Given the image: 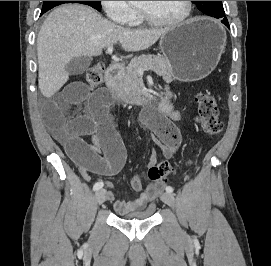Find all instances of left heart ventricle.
<instances>
[{"label": "left heart ventricle", "mask_w": 271, "mask_h": 266, "mask_svg": "<svg viewBox=\"0 0 271 266\" xmlns=\"http://www.w3.org/2000/svg\"><path fill=\"white\" fill-rule=\"evenodd\" d=\"M139 7L161 20L177 19L186 9L185 1H139Z\"/></svg>", "instance_id": "1"}]
</instances>
